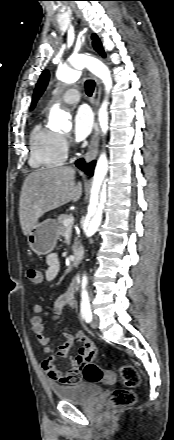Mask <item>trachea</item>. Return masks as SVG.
I'll return each mask as SVG.
<instances>
[{"instance_id":"trachea-1","label":"trachea","mask_w":174,"mask_h":440,"mask_svg":"<svg viewBox=\"0 0 174 440\" xmlns=\"http://www.w3.org/2000/svg\"><path fill=\"white\" fill-rule=\"evenodd\" d=\"M95 88V82L93 80H87L85 82V91L88 96H91Z\"/></svg>"}]
</instances>
